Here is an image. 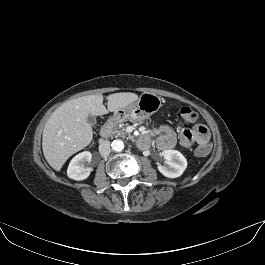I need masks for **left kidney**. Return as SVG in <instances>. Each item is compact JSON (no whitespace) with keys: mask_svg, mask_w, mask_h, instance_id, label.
Returning <instances> with one entry per match:
<instances>
[{"mask_svg":"<svg viewBox=\"0 0 265 265\" xmlns=\"http://www.w3.org/2000/svg\"><path fill=\"white\" fill-rule=\"evenodd\" d=\"M161 156L165 159V165H158L161 174L168 178H177L183 174L187 168V160L177 150H164Z\"/></svg>","mask_w":265,"mask_h":265,"instance_id":"obj_1","label":"left kidney"}]
</instances>
